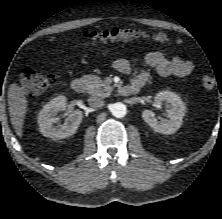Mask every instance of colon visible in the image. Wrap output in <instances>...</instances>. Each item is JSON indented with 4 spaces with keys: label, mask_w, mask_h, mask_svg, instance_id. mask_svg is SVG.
Segmentation results:
<instances>
[{
    "label": "colon",
    "mask_w": 222,
    "mask_h": 219,
    "mask_svg": "<svg viewBox=\"0 0 222 219\" xmlns=\"http://www.w3.org/2000/svg\"><path fill=\"white\" fill-rule=\"evenodd\" d=\"M84 38L88 44H101L113 41H134L138 39H151L157 45H169L175 43L171 37L164 33H158L153 36L137 29H119L113 28L103 31H89L84 33ZM57 79L55 74L38 73L31 69H25L19 76V82L22 89L31 95H38L51 87ZM214 77L206 76L202 80V86L206 90L215 87Z\"/></svg>",
    "instance_id": "obj_1"
}]
</instances>
